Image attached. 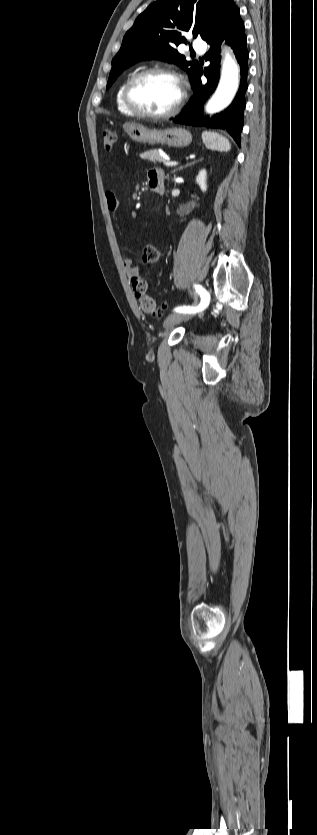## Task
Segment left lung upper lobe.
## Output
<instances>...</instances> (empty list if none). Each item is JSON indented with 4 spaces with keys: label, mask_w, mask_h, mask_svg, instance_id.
I'll return each instance as SVG.
<instances>
[{
    "label": "left lung upper lobe",
    "mask_w": 317,
    "mask_h": 835,
    "mask_svg": "<svg viewBox=\"0 0 317 835\" xmlns=\"http://www.w3.org/2000/svg\"><path fill=\"white\" fill-rule=\"evenodd\" d=\"M229 0H159L141 13L125 34L122 46L112 60L107 89L132 64L160 58L176 63L190 79L199 67L187 61L175 47L187 43L186 32L207 41L225 23L224 10Z\"/></svg>",
    "instance_id": "1"
}]
</instances>
